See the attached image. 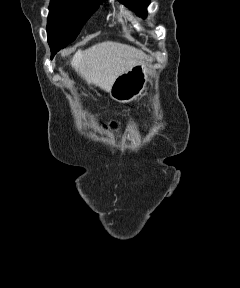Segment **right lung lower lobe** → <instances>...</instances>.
Masks as SVG:
<instances>
[{
    "label": "right lung lower lobe",
    "instance_id": "1",
    "mask_svg": "<svg viewBox=\"0 0 240 288\" xmlns=\"http://www.w3.org/2000/svg\"><path fill=\"white\" fill-rule=\"evenodd\" d=\"M52 53V57L51 58H53V56L55 55V53H53V52H51Z\"/></svg>",
    "mask_w": 240,
    "mask_h": 288
}]
</instances>
